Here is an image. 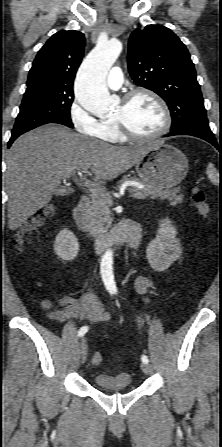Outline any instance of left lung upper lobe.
Segmentation results:
<instances>
[{
  "mask_svg": "<svg viewBox=\"0 0 222 447\" xmlns=\"http://www.w3.org/2000/svg\"><path fill=\"white\" fill-rule=\"evenodd\" d=\"M128 69L134 82L161 96L172 116L171 131L209 128L194 64L180 39L167 27L148 25L129 38Z\"/></svg>",
  "mask_w": 222,
  "mask_h": 447,
  "instance_id": "obj_1",
  "label": "left lung upper lobe"
}]
</instances>
